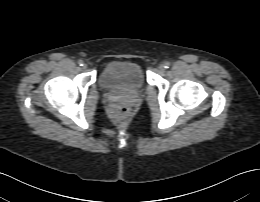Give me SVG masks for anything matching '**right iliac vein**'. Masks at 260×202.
Masks as SVG:
<instances>
[{
	"label": "right iliac vein",
	"instance_id": "obj_1",
	"mask_svg": "<svg viewBox=\"0 0 260 202\" xmlns=\"http://www.w3.org/2000/svg\"><path fill=\"white\" fill-rule=\"evenodd\" d=\"M82 68L86 69L87 68V64H83Z\"/></svg>",
	"mask_w": 260,
	"mask_h": 202
}]
</instances>
